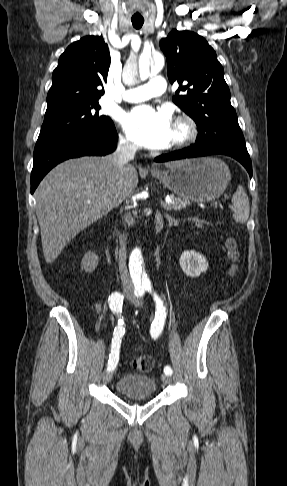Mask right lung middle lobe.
<instances>
[{"label": "right lung middle lobe", "mask_w": 287, "mask_h": 486, "mask_svg": "<svg viewBox=\"0 0 287 486\" xmlns=\"http://www.w3.org/2000/svg\"><path fill=\"white\" fill-rule=\"evenodd\" d=\"M98 99L66 102L47 107L38 141L70 136H91L113 122L99 113Z\"/></svg>", "instance_id": "right-lung-middle-lobe-1"}]
</instances>
